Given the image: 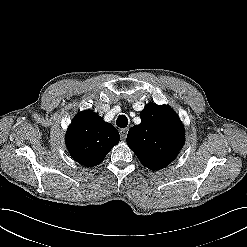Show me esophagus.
Segmentation results:
<instances>
[{
	"label": "esophagus",
	"mask_w": 247,
	"mask_h": 247,
	"mask_svg": "<svg viewBox=\"0 0 247 247\" xmlns=\"http://www.w3.org/2000/svg\"><path fill=\"white\" fill-rule=\"evenodd\" d=\"M128 128H123L120 130V138L121 140H125L127 137V133H128Z\"/></svg>",
	"instance_id": "obj_1"
}]
</instances>
